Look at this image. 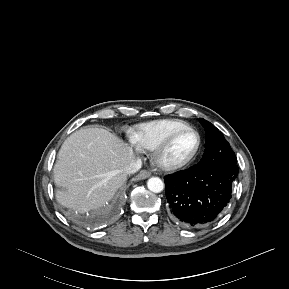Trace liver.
Returning a JSON list of instances; mask_svg holds the SVG:
<instances>
[{
	"label": "liver",
	"mask_w": 289,
	"mask_h": 289,
	"mask_svg": "<svg viewBox=\"0 0 289 289\" xmlns=\"http://www.w3.org/2000/svg\"><path fill=\"white\" fill-rule=\"evenodd\" d=\"M131 146L101 128H81L62 144L53 169L54 182L63 190L57 201L80 213L111 200L126 181L124 169L134 160Z\"/></svg>",
	"instance_id": "obj_1"
}]
</instances>
